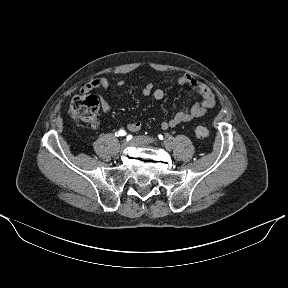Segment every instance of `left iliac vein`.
Segmentation results:
<instances>
[{
    "label": "left iliac vein",
    "instance_id": "4c4485c4",
    "mask_svg": "<svg viewBox=\"0 0 288 288\" xmlns=\"http://www.w3.org/2000/svg\"><path fill=\"white\" fill-rule=\"evenodd\" d=\"M144 141H145L146 143H149V142L152 143V142L155 141V139H154V138H151V137H146V138L144 139ZM164 146H165V148H166L167 150H171V148H172V144H171V142L168 141V140L164 141Z\"/></svg>",
    "mask_w": 288,
    "mask_h": 288
}]
</instances>
